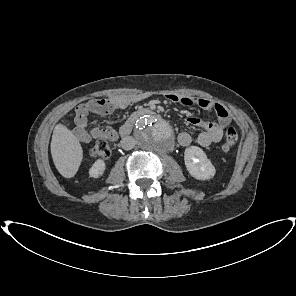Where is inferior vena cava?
<instances>
[{"label":"inferior vena cava","instance_id":"602c4592","mask_svg":"<svg viewBox=\"0 0 296 296\" xmlns=\"http://www.w3.org/2000/svg\"><path fill=\"white\" fill-rule=\"evenodd\" d=\"M136 141L133 137L127 136L121 140V146L124 150H131L134 148Z\"/></svg>","mask_w":296,"mask_h":296}]
</instances>
